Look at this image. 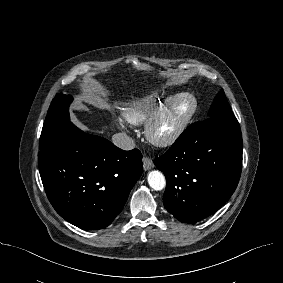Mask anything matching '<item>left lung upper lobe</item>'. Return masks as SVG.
Instances as JSON below:
<instances>
[{
    "label": "left lung upper lobe",
    "instance_id": "5c2ea615",
    "mask_svg": "<svg viewBox=\"0 0 283 283\" xmlns=\"http://www.w3.org/2000/svg\"><path fill=\"white\" fill-rule=\"evenodd\" d=\"M209 117L219 116V115H234L231 111V107L226 99L225 93L221 90L210 107Z\"/></svg>",
    "mask_w": 283,
    "mask_h": 283
}]
</instances>
